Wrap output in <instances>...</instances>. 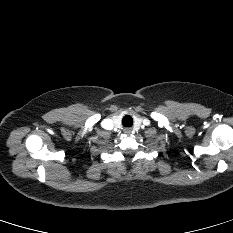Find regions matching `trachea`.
Listing matches in <instances>:
<instances>
[{
	"label": "trachea",
	"mask_w": 233,
	"mask_h": 233,
	"mask_svg": "<svg viewBox=\"0 0 233 233\" xmlns=\"http://www.w3.org/2000/svg\"><path fill=\"white\" fill-rule=\"evenodd\" d=\"M122 124L125 127H130L133 124V119L130 115H126L123 117Z\"/></svg>",
	"instance_id": "trachea-1"
}]
</instances>
